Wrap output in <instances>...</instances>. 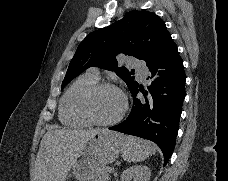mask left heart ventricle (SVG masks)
Listing matches in <instances>:
<instances>
[{"label": "left heart ventricle", "instance_id": "1", "mask_svg": "<svg viewBox=\"0 0 228 181\" xmlns=\"http://www.w3.org/2000/svg\"><path fill=\"white\" fill-rule=\"evenodd\" d=\"M123 106L120 93L113 88H104L95 94L92 109L95 116L102 120L115 117Z\"/></svg>", "mask_w": 228, "mask_h": 181}]
</instances>
